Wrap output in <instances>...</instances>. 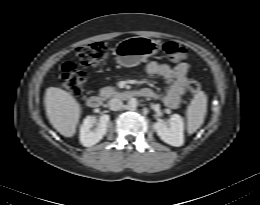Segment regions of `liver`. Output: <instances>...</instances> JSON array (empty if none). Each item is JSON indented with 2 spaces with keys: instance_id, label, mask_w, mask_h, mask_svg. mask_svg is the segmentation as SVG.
Returning a JSON list of instances; mask_svg holds the SVG:
<instances>
[{
  "instance_id": "liver-1",
  "label": "liver",
  "mask_w": 260,
  "mask_h": 205,
  "mask_svg": "<svg viewBox=\"0 0 260 205\" xmlns=\"http://www.w3.org/2000/svg\"><path fill=\"white\" fill-rule=\"evenodd\" d=\"M44 103L50 124L61 135L72 137L81 116V107L76 99L65 90L49 87Z\"/></svg>"
}]
</instances>
